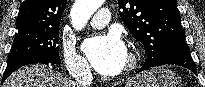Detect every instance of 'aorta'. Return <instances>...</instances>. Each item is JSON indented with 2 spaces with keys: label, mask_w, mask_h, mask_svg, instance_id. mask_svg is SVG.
<instances>
[{
  "label": "aorta",
  "mask_w": 205,
  "mask_h": 87,
  "mask_svg": "<svg viewBox=\"0 0 205 87\" xmlns=\"http://www.w3.org/2000/svg\"><path fill=\"white\" fill-rule=\"evenodd\" d=\"M103 3L104 0H76L70 12L73 27L76 30H82Z\"/></svg>",
  "instance_id": "1"
}]
</instances>
